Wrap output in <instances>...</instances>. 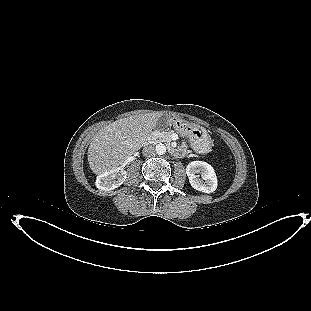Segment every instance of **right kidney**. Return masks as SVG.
Segmentation results:
<instances>
[{"label": "right kidney", "instance_id": "obj_1", "mask_svg": "<svg viewBox=\"0 0 311 311\" xmlns=\"http://www.w3.org/2000/svg\"><path fill=\"white\" fill-rule=\"evenodd\" d=\"M126 178L127 172L123 168L111 169L97 177L96 187L104 191H110L123 184Z\"/></svg>", "mask_w": 311, "mask_h": 311}]
</instances>
